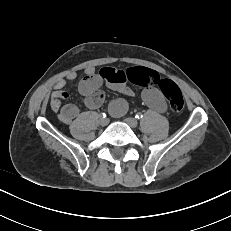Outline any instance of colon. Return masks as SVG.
Masks as SVG:
<instances>
[{
	"label": "colon",
	"mask_w": 231,
	"mask_h": 231,
	"mask_svg": "<svg viewBox=\"0 0 231 231\" xmlns=\"http://www.w3.org/2000/svg\"><path fill=\"white\" fill-rule=\"evenodd\" d=\"M126 77L129 82L137 86H158L167 98L172 111L180 112L183 110V95L173 81L169 79H163L155 71L142 67H136L127 70Z\"/></svg>",
	"instance_id": "colon-1"
}]
</instances>
